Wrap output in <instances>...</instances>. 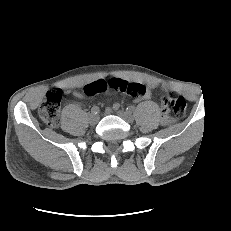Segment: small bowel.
<instances>
[{
  "label": "small bowel",
  "instance_id": "obj_1",
  "mask_svg": "<svg viewBox=\"0 0 231 231\" xmlns=\"http://www.w3.org/2000/svg\"><path fill=\"white\" fill-rule=\"evenodd\" d=\"M138 84L142 85L146 89V91H145V93L143 95L138 96L137 99L138 100L148 99L150 97V90L149 89L155 87V84L154 83H147L146 85L141 84V83H138ZM72 94L74 96H76V97H81L82 96L81 93H79L77 91H74ZM117 106H118V104H115L114 108H116ZM171 121L172 120L169 117L164 116V118H163V123L164 124H169V123H171Z\"/></svg>",
  "mask_w": 231,
  "mask_h": 231
}]
</instances>
